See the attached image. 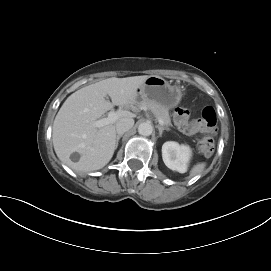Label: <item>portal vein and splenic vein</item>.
<instances>
[{
	"label": "portal vein and splenic vein",
	"instance_id": "portal-vein-and-splenic-vein-1",
	"mask_svg": "<svg viewBox=\"0 0 271 271\" xmlns=\"http://www.w3.org/2000/svg\"><path fill=\"white\" fill-rule=\"evenodd\" d=\"M122 112L123 111H117V112L110 111L108 113V116L106 118H102V119H99V120L93 122V126H95L97 128H101V127H103L105 125L113 123V122H115L119 118V116L121 115ZM158 122H159V124L161 126L164 125V121L162 119H158Z\"/></svg>",
	"mask_w": 271,
	"mask_h": 271
}]
</instances>
